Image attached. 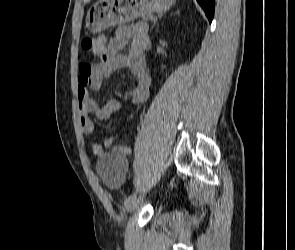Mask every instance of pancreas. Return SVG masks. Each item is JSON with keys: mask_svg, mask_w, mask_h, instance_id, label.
<instances>
[{"mask_svg": "<svg viewBox=\"0 0 295 250\" xmlns=\"http://www.w3.org/2000/svg\"><path fill=\"white\" fill-rule=\"evenodd\" d=\"M154 20L155 18H154V16L153 15H142V21L143 22H147L148 20Z\"/></svg>", "mask_w": 295, "mask_h": 250, "instance_id": "cf45deb5", "label": "pancreas"}]
</instances>
